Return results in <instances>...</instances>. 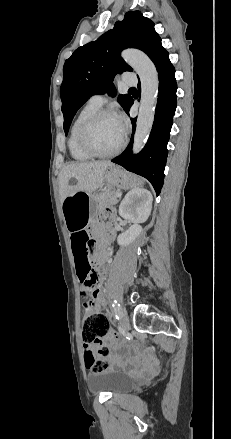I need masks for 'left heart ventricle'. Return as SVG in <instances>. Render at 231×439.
<instances>
[{
    "mask_svg": "<svg viewBox=\"0 0 231 439\" xmlns=\"http://www.w3.org/2000/svg\"><path fill=\"white\" fill-rule=\"evenodd\" d=\"M122 132L115 117L106 116L99 119L92 127L89 139L91 144L100 152H109L121 142Z\"/></svg>",
    "mask_w": 231,
    "mask_h": 439,
    "instance_id": "b2bd125f",
    "label": "left heart ventricle"
}]
</instances>
